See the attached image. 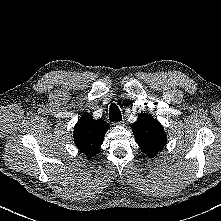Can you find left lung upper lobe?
Instances as JSON below:
<instances>
[{
	"instance_id": "obj_1",
	"label": "left lung upper lobe",
	"mask_w": 221,
	"mask_h": 221,
	"mask_svg": "<svg viewBox=\"0 0 221 221\" xmlns=\"http://www.w3.org/2000/svg\"><path fill=\"white\" fill-rule=\"evenodd\" d=\"M136 143L140 149L153 158L166 144V134L162 125L150 114H139L132 125Z\"/></svg>"
}]
</instances>
